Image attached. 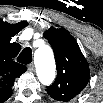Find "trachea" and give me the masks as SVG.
I'll use <instances>...</instances> for the list:
<instances>
[{
    "label": "trachea",
    "instance_id": "1",
    "mask_svg": "<svg viewBox=\"0 0 103 103\" xmlns=\"http://www.w3.org/2000/svg\"><path fill=\"white\" fill-rule=\"evenodd\" d=\"M17 61L22 64H29L32 61V51L31 48L26 47L22 50L17 58Z\"/></svg>",
    "mask_w": 103,
    "mask_h": 103
}]
</instances>
